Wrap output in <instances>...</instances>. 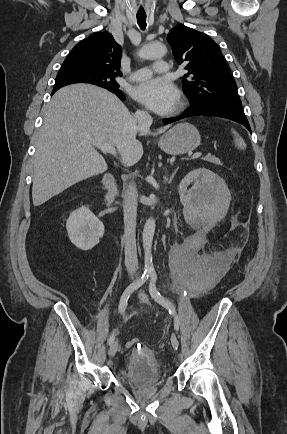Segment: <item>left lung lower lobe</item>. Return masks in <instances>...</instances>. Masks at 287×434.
Masks as SVG:
<instances>
[{"mask_svg":"<svg viewBox=\"0 0 287 434\" xmlns=\"http://www.w3.org/2000/svg\"><path fill=\"white\" fill-rule=\"evenodd\" d=\"M199 115L227 118L244 125L251 132L242 104H221L217 106L195 105L188 108L182 115L175 118L164 119L163 122L170 124L183 118Z\"/></svg>","mask_w":287,"mask_h":434,"instance_id":"obj_1","label":"left lung lower lobe"}]
</instances>
